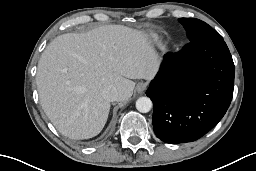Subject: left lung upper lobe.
Segmentation results:
<instances>
[{"instance_id": "left-lung-upper-lobe-1", "label": "left lung upper lobe", "mask_w": 256, "mask_h": 171, "mask_svg": "<svg viewBox=\"0 0 256 171\" xmlns=\"http://www.w3.org/2000/svg\"><path fill=\"white\" fill-rule=\"evenodd\" d=\"M186 29L190 42L197 40H223L222 36L207 23L195 18H179Z\"/></svg>"}]
</instances>
